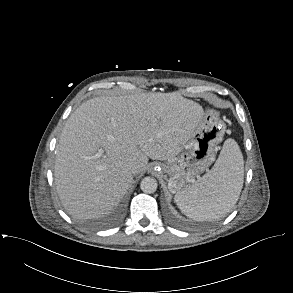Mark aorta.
<instances>
[{"label":"aorta","instance_id":"aorta-1","mask_svg":"<svg viewBox=\"0 0 293 293\" xmlns=\"http://www.w3.org/2000/svg\"><path fill=\"white\" fill-rule=\"evenodd\" d=\"M157 181L152 177H145L140 183V188L144 193L151 194L157 190Z\"/></svg>","mask_w":293,"mask_h":293}]
</instances>
